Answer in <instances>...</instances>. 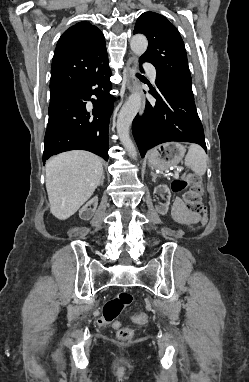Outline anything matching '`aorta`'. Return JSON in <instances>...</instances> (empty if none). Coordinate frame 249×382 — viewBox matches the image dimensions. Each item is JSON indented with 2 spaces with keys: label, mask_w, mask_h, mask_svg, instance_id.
<instances>
[{
  "label": "aorta",
  "mask_w": 249,
  "mask_h": 382,
  "mask_svg": "<svg viewBox=\"0 0 249 382\" xmlns=\"http://www.w3.org/2000/svg\"><path fill=\"white\" fill-rule=\"evenodd\" d=\"M130 47L134 54L141 56L145 53L148 47L147 38L144 35H134L130 41ZM141 93L135 92L131 94L128 100L121 108L117 118V133L122 145L128 151L131 158L136 159V148L130 138V126L141 106Z\"/></svg>",
  "instance_id": "aorta-1"
}]
</instances>
